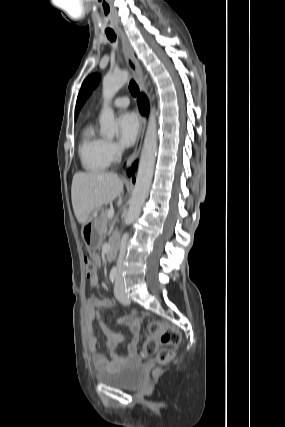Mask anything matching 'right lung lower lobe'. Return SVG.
<instances>
[{"mask_svg": "<svg viewBox=\"0 0 285 427\" xmlns=\"http://www.w3.org/2000/svg\"><path fill=\"white\" fill-rule=\"evenodd\" d=\"M138 104H139L140 111H141L142 114L148 113V101H147V98L143 94L139 96V98H138ZM132 169L133 170L136 169V163L133 164ZM128 175L129 176L132 175V171L131 170L128 171ZM133 182H135V178L134 177H133Z\"/></svg>", "mask_w": 285, "mask_h": 427, "instance_id": "98d812e1", "label": "right lung lower lobe"}]
</instances>
